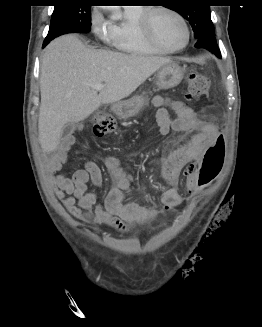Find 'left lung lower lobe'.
Instances as JSON below:
<instances>
[{
  "mask_svg": "<svg viewBox=\"0 0 262 327\" xmlns=\"http://www.w3.org/2000/svg\"><path fill=\"white\" fill-rule=\"evenodd\" d=\"M196 48H206L210 52L214 53L216 56L221 58V54L219 51V48L217 46L216 38H215V32L208 33L199 39L196 40L195 44Z\"/></svg>",
  "mask_w": 262,
  "mask_h": 327,
  "instance_id": "1",
  "label": "left lung lower lobe"
}]
</instances>
